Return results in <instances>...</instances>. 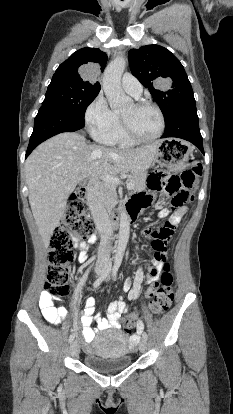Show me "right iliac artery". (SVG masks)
I'll return each instance as SVG.
<instances>
[{
    "label": "right iliac artery",
    "mask_w": 233,
    "mask_h": 414,
    "mask_svg": "<svg viewBox=\"0 0 233 414\" xmlns=\"http://www.w3.org/2000/svg\"><path fill=\"white\" fill-rule=\"evenodd\" d=\"M110 271H111V267H108L102 274H101V276L99 277V278H97L96 280H95V282H94V284H93V287L94 288H97L98 286H100L101 285V283L106 279V277L109 275V273H110ZM74 334H71L70 336H69V339H68V341H69V343H71L73 340H74Z\"/></svg>",
    "instance_id": "82829eb1"
}]
</instances>
